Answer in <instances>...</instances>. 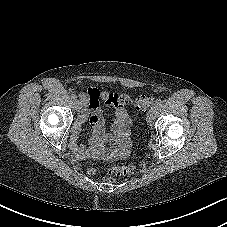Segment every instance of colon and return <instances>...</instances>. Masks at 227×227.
<instances>
[{"label":"colon","mask_w":227,"mask_h":227,"mask_svg":"<svg viewBox=\"0 0 227 227\" xmlns=\"http://www.w3.org/2000/svg\"><path fill=\"white\" fill-rule=\"evenodd\" d=\"M119 100L122 103H127L129 101L128 97L125 95H119ZM153 99L147 95H139L133 100L134 107L139 111H145L152 104ZM136 169V166L133 164L113 166L110 167L107 171L108 180L113 181L114 176H126L132 174ZM89 174H94L95 169L93 167L88 168Z\"/></svg>","instance_id":"1"}]
</instances>
